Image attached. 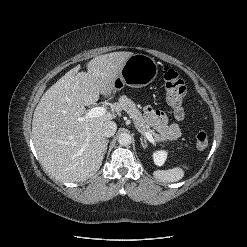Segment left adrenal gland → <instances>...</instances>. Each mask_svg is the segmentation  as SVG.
<instances>
[{
	"instance_id": "left-adrenal-gland-1",
	"label": "left adrenal gland",
	"mask_w": 247,
	"mask_h": 247,
	"mask_svg": "<svg viewBox=\"0 0 247 247\" xmlns=\"http://www.w3.org/2000/svg\"><path fill=\"white\" fill-rule=\"evenodd\" d=\"M140 141H141V145L143 148H146L147 147V142L146 141H143L142 137L140 138Z\"/></svg>"
}]
</instances>
